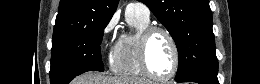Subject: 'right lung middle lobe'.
<instances>
[{
	"instance_id": "obj_1",
	"label": "right lung middle lobe",
	"mask_w": 260,
	"mask_h": 84,
	"mask_svg": "<svg viewBox=\"0 0 260 84\" xmlns=\"http://www.w3.org/2000/svg\"><path fill=\"white\" fill-rule=\"evenodd\" d=\"M108 22H91L74 31L53 36L51 84H68L81 73L104 71L100 44Z\"/></svg>"
}]
</instances>
